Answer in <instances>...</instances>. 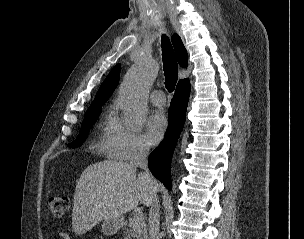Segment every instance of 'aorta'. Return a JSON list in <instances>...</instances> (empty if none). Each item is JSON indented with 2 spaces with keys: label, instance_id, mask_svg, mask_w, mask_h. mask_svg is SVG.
I'll return each mask as SVG.
<instances>
[{
  "label": "aorta",
  "instance_id": "1",
  "mask_svg": "<svg viewBox=\"0 0 304 239\" xmlns=\"http://www.w3.org/2000/svg\"><path fill=\"white\" fill-rule=\"evenodd\" d=\"M157 66L143 57L128 71L119 91V102L131 122H142L147 114V94L157 75Z\"/></svg>",
  "mask_w": 304,
  "mask_h": 239
}]
</instances>
